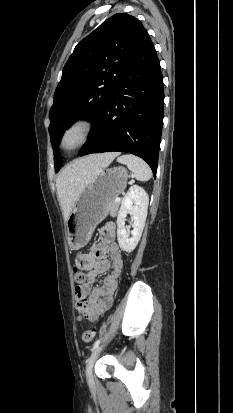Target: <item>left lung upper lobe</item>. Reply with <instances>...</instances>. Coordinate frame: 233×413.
<instances>
[{
    "label": "left lung upper lobe",
    "mask_w": 233,
    "mask_h": 413,
    "mask_svg": "<svg viewBox=\"0 0 233 413\" xmlns=\"http://www.w3.org/2000/svg\"><path fill=\"white\" fill-rule=\"evenodd\" d=\"M146 33L134 16L118 13L77 44L63 68L50 110L49 134L54 146L77 119L88 118L96 124ZM61 163L54 148L56 171Z\"/></svg>",
    "instance_id": "5c2ea615"
}]
</instances>
